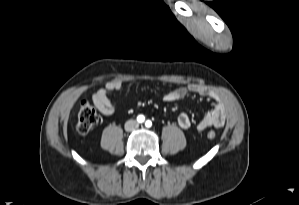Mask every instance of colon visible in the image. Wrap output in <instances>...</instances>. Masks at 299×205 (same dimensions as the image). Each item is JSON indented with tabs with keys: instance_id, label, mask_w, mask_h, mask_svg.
Masks as SVG:
<instances>
[{
	"instance_id": "5ec220e1",
	"label": "colon",
	"mask_w": 299,
	"mask_h": 205,
	"mask_svg": "<svg viewBox=\"0 0 299 205\" xmlns=\"http://www.w3.org/2000/svg\"><path fill=\"white\" fill-rule=\"evenodd\" d=\"M98 120L99 116L96 109L88 101H82L78 112L77 131L82 135L89 133L98 123ZM207 137L214 140L216 133L211 130L207 133Z\"/></svg>"
}]
</instances>
